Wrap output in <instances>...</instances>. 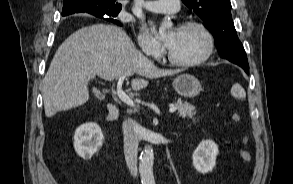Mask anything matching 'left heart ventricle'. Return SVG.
I'll return each mask as SVG.
<instances>
[{
    "label": "left heart ventricle",
    "mask_w": 293,
    "mask_h": 184,
    "mask_svg": "<svg viewBox=\"0 0 293 184\" xmlns=\"http://www.w3.org/2000/svg\"><path fill=\"white\" fill-rule=\"evenodd\" d=\"M176 38L169 48L171 54L180 60H194L206 49V38L196 28L177 29Z\"/></svg>",
    "instance_id": "b2bd125f"
}]
</instances>
